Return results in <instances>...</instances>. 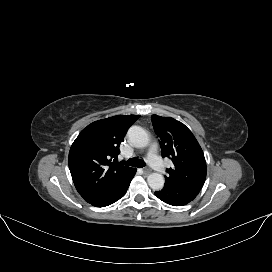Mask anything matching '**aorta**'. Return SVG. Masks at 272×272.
Masks as SVG:
<instances>
[{
    "mask_svg": "<svg viewBox=\"0 0 272 272\" xmlns=\"http://www.w3.org/2000/svg\"><path fill=\"white\" fill-rule=\"evenodd\" d=\"M130 143L138 148L146 147L149 144L147 132L140 126H132L127 132ZM147 182L151 189L161 190L164 186L165 179L160 173L153 172L148 175Z\"/></svg>",
    "mask_w": 272,
    "mask_h": 272,
    "instance_id": "aorta-1",
    "label": "aorta"
}]
</instances>
